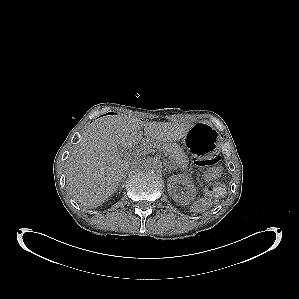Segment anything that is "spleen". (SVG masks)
Segmentation results:
<instances>
[{"label":"spleen","mask_w":299,"mask_h":299,"mask_svg":"<svg viewBox=\"0 0 299 299\" xmlns=\"http://www.w3.org/2000/svg\"><path fill=\"white\" fill-rule=\"evenodd\" d=\"M213 203L214 201H211L209 198L201 197L197 198V200L193 202L189 209L190 212L193 213H203L208 210L213 205Z\"/></svg>","instance_id":"1"}]
</instances>
